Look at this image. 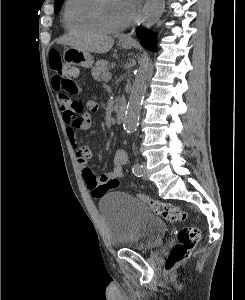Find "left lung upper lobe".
I'll return each instance as SVG.
<instances>
[{
	"instance_id": "5c2ea615",
	"label": "left lung upper lobe",
	"mask_w": 245,
	"mask_h": 300,
	"mask_svg": "<svg viewBox=\"0 0 245 300\" xmlns=\"http://www.w3.org/2000/svg\"><path fill=\"white\" fill-rule=\"evenodd\" d=\"M64 0H56V3H55V13H58L59 10H60V7L62 5Z\"/></svg>"
}]
</instances>
